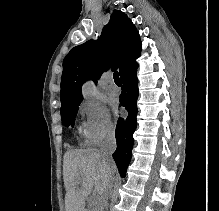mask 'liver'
Listing matches in <instances>:
<instances>
[{"label": "liver", "instance_id": "liver-1", "mask_svg": "<svg viewBox=\"0 0 219 211\" xmlns=\"http://www.w3.org/2000/svg\"><path fill=\"white\" fill-rule=\"evenodd\" d=\"M117 173L98 149H69L64 153L65 211H87L85 199L94 187L97 207L104 209Z\"/></svg>", "mask_w": 219, "mask_h": 211}]
</instances>
